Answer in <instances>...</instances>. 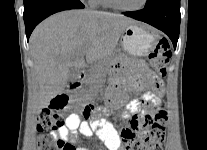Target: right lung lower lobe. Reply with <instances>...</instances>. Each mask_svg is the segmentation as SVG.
I'll list each match as a JSON object with an SVG mask.
<instances>
[{
  "instance_id": "98d812e1",
  "label": "right lung lower lobe",
  "mask_w": 207,
  "mask_h": 150,
  "mask_svg": "<svg viewBox=\"0 0 207 150\" xmlns=\"http://www.w3.org/2000/svg\"><path fill=\"white\" fill-rule=\"evenodd\" d=\"M79 0H32L24 6V22L27 40L35 26L46 17L63 10L82 9Z\"/></svg>"
}]
</instances>
